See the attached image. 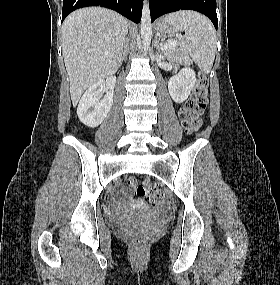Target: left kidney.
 Instances as JSON below:
<instances>
[{"label": "left kidney", "instance_id": "left-kidney-1", "mask_svg": "<svg viewBox=\"0 0 280 285\" xmlns=\"http://www.w3.org/2000/svg\"><path fill=\"white\" fill-rule=\"evenodd\" d=\"M195 83V72L189 65H186L177 75L169 79L168 90L170 96L176 103L184 102L190 95Z\"/></svg>", "mask_w": 280, "mask_h": 285}]
</instances>
